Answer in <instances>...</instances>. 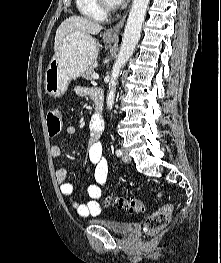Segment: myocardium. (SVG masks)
Here are the masks:
<instances>
[{
    "mask_svg": "<svg viewBox=\"0 0 221 263\" xmlns=\"http://www.w3.org/2000/svg\"><path fill=\"white\" fill-rule=\"evenodd\" d=\"M99 7L104 10L105 12L114 11L117 5L109 0H96Z\"/></svg>",
    "mask_w": 221,
    "mask_h": 263,
    "instance_id": "obj_1",
    "label": "myocardium"
}]
</instances>
